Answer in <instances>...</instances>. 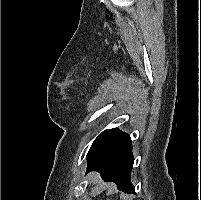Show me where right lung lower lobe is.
I'll return each instance as SVG.
<instances>
[{"mask_svg": "<svg viewBox=\"0 0 201 200\" xmlns=\"http://www.w3.org/2000/svg\"><path fill=\"white\" fill-rule=\"evenodd\" d=\"M134 157L127 133L118 128L106 130L93 142L87 154V171H97L106 182L116 183L119 190L135 193L130 174Z\"/></svg>", "mask_w": 201, "mask_h": 200, "instance_id": "1", "label": "right lung lower lobe"}]
</instances>
